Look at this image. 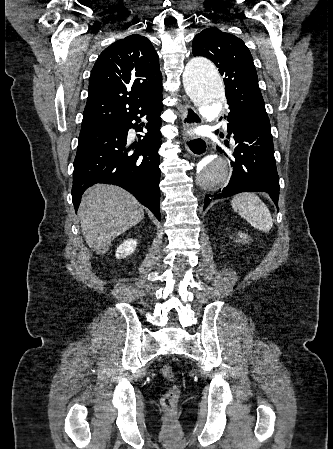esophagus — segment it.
<instances>
[{
  "mask_svg": "<svg viewBox=\"0 0 333 449\" xmlns=\"http://www.w3.org/2000/svg\"><path fill=\"white\" fill-rule=\"evenodd\" d=\"M202 122V118L198 111L191 106L190 104H185L183 113H182V124L183 128L186 131L188 128H195L200 125ZM184 146L185 149L194 156H202L205 154L207 150V142L206 140L194 133L188 134L185 133L184 137Z\"/></svg>",
  "mask_w": 333,
  "mask_h": 449,
  "instance_id": "34e87169",
  "label": "esophagus"
}]
</instances>
